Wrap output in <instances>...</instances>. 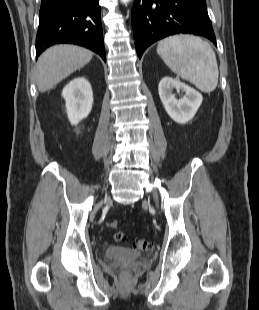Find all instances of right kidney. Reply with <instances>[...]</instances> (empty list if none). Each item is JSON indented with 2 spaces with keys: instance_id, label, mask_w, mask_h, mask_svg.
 Returning a JSON list of instances; mask_svg holds the SVG:
<instances>
[{
  "instance_id": "right-kidney-1",
  "label": "right kidney",
  "mask_w": 259,
  "mask_h": 310,
  "mask_svg": "<svg viewBox=\"0 0 259 310\" xmlns=\"http://www.w3.org/2000/svg\"><path fill=\"white\" fill-rule=\"evenodd\" d=\"M62 96L66 101V111L72 125H77L91 112L93 92L90 83L84 77L70 81L63 88Z\"/></svg>"
}]
</instances>
